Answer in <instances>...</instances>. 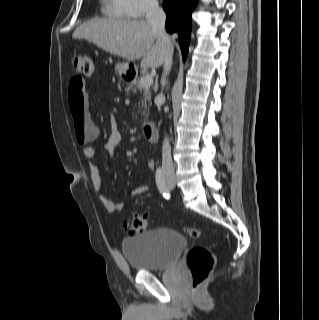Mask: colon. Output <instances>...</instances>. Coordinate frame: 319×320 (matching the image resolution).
Wrapping results in <instances>:
<instances>
[{
	"label": "colon",
	"instance_id": "5ec220e1",
	"mask_svg": "<svg viewBox=\"0 0 319 320\" xmlns=\"http://www.w3.org/2000/svg\"><path fill=\"white\" fill-rule=\"evenodd\" d=\"M73 70L79 78H90L95 70L92 57L88 55H77L72 59ZM73 117L75 137L81 143H88L95 138V132L89 125L83 114H75ZM149 225V218L145 215L132 214L125 222V228L130 233L144 231ZM184 232L191 238L197 239L202 235L201 230L196 228H185ZM187 267L192 279V292L198 293L201 284L212 274L216 258L206 246L192 247L186 258Z\"/></svg>",
	"mask_w": 319,
	"mask_h": 320
}]
</instances>
